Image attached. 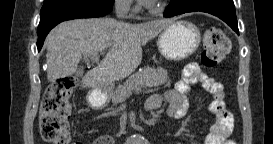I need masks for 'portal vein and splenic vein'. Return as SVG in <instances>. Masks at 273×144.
<instances>
[{
	"instance_id": "18ae733b",
	"label": "portal vein and splenic vein",
	"mask_w": 273,
	"mask_h": 144,
	"mask_svg": "<svg viewBox=\"0 0 273 144\" xmlns=\"http://www.w3.org/2000/svg\"><path fill=\"white\" fill-rule=\"evenodd\" d=\"M86 56H88L92 62H97L99 60L98 53H92V54L86 55Z\"/></svg>"
}]
</instances>
